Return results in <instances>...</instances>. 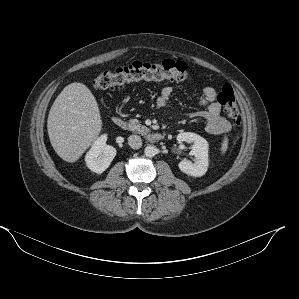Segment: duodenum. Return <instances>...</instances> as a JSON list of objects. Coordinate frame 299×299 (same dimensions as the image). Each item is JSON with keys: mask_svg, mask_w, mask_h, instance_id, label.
<instances>
[{"mask_svg": "<svg viewBox=\"0 0 299 299\" xmlns=\"http://www.w3.org/2000/svg\"><path fill=\"white\" fill-rule=\"evenodd\" d=\"M111 123L117 128H124L126 126L125 121L120 117H113ZM150 142H159L164 138L162 133H150L146 136Z\"/></svg>", "mask_w": 299, "mask_h": 299, "instance_id": "duodenum-1", "label": "duodenum"}]
</instances>
